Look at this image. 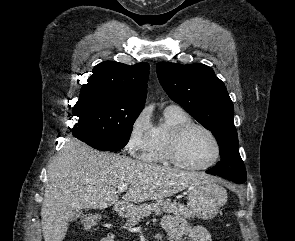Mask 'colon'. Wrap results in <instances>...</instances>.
I'll return each instance as SVG.
<instances>
[{"instance_id": "5ec220e1", "label": "colon", "mask_w": 295, "mask_h": 241, "mask_svg": "<svg viewBox=\"0 0 295 241\" xmlns=\"http://www.w3.org/2000/svg\"><path fill=\"white\" fill-rule=\"evenodd\" d=\"M95 224H96L95 218H93L92 216L86 218V221H85L86 227L90 228V227L94 226Z\"/></svg>"}]
</instances>
